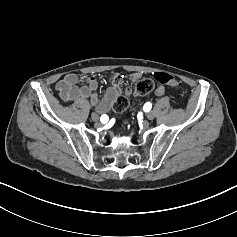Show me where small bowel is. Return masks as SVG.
Instances as JSON below:
<instances>
[{
    "instance_id": "1",
    "label": "small bowel",
    "mask_w": 237,
    "mask_h": 237,
    "mask_svg": "<svg viewBox=\"0 0 237 237\" xmlns=\"http://www.w3.org/2000/svg\"><path fill=\"white\" fill-rule=\"evenodd\" d=\"M132 81H136L139 73H134L128 76ZM124 75L113 72L109 75L111 86L106 90L102 98L99 97V83L94 76L84 80L81 86H78V78L75 74L70 73L65 75L56 84V90L59 93L63 102H84L89 100V104L95 108V114L105 115L111 109L115 99L121 93V82ZM156 95L162 96L165 93V87L160 84L155 90Z\"/></svg>"
}]
</instances>
